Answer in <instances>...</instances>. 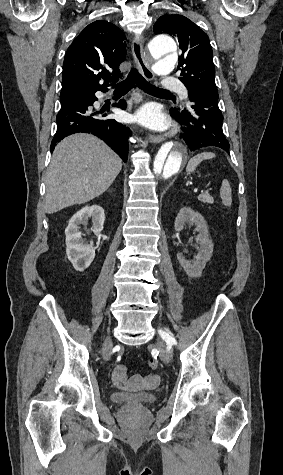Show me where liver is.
Masks as SVG:
<instances>
[{
  "label": "liver",
  "instance_id": "liver-1",
  "mask_svg": "<svg viewBox=\"0 0 283 475\" xmlns=\"http://www.w3.org/2000/svg\"><path fill=\"white\" fill-rule=\"evenodd\" d=\"M121 168V158L96 136H68L57 144L48 168L46 214L98 198L113 184Z\"/></svg>",
  "mask_w": 283,
  "mask_h": 475
}]
</instances>
